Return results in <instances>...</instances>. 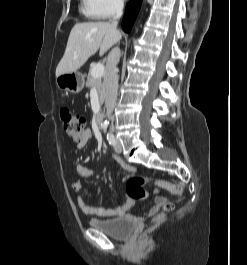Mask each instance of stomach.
Instances as JSON below:
<instances>
[{
  "label": "stomach",
  "instance_id": "obj_1",
  "mask_svg": "<svg viewBox=\"0 0 247 265\" xmlns=\"http://www.w3.org/2000/svg\"><path fill=\"white\" fill-rule=\"evenodd\" d=\"M84 84V76L78 71L61 74L56 77L58 89L68 91L72 94L79 93L83 89Z\"/></svg>",
  "mask_w": 247,
  "mask_h": 265
}]
</instances>
